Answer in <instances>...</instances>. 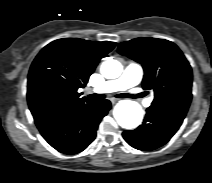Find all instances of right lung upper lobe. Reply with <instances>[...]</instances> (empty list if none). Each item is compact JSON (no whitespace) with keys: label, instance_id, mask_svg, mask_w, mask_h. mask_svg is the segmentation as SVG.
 <instances>
[{"label":"right lung upper lobe","instance_id":"1","mask_svg":"<svg viewBox=\"0 0 212 183\" xmlns=\"http://www.w3.org/2000/svg\"><path fill=\"white\" fill-rule=\"evenodd\" d=\"M115 45L64 38L45 46L28 74L27 99L35 121L60 110H75L94 103L80 98L78 89L87 84L99 60Z\"/></svg>","mask_w":212,"mask_h":183}]
</instances>
